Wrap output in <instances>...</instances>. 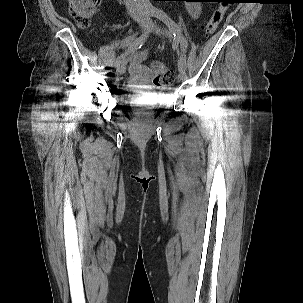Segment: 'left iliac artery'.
<instances>
[{"instance_id":"1","label":"left iliac artery","mask_w":303,"mask_h":303,"mask_svg":"<svg viewBox=\"0 0 303 303\" xmlns=\"http://www.w3.org/2000/svg\"><path fill=\"white\" fill-rule=\"evenodd\" d=\"M146 12L158 18L159 20L163 21L168 28L173 32V35L176 39L180 41L181 44V54L179 57V66L186 69V47H187V40L183 36L182 30L177 23H175L163 10L155 8L150 2L145 4Z\"/></svg>"}]
</instances>
